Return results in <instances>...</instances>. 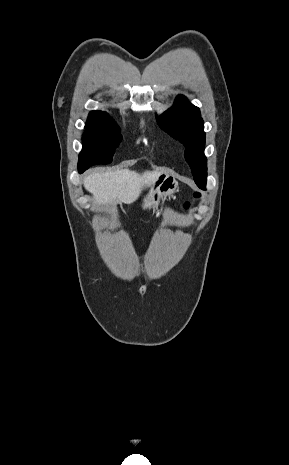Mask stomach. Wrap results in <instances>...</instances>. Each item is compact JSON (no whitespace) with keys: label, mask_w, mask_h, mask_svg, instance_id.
Masks as SVG:
<instances>
[{"label":"stomach","mask_w":289,"mask_h":465,"mask_svg":"<svg viewBox=\"0 0 289 465\" xmlns=\"http://www.w3.org/2000/svg\"><path fill=\"white\" fill-rule=\"evenodd\" d=\"M177 190L178 182L174 177L160 174L149 193L144 197L142 207L144 209H157L161 199L173 196Z\"/></svg>","instance_id":"1"}]
</instances>
